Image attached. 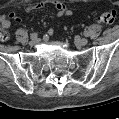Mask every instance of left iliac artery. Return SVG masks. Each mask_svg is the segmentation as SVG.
Returning <instances> with one entry per match:
<instances>
[{
  "mask_svg": "<svg viewBox=\"0 0 119 119\" xmlns=\"http://www.w3.org/2000/svg\"><path fill=\"white\" fill-rule=\"evenodd\" d=\"M84 35H85L86 37H88V36H90V32H89V31H85V32H84Z\"/></svg>",
  "mask_w": 119,
  "mask_h": 119,
  "instance_id": "left-iliac-artery-1",
  "label": "left iliac artery"
}]
</instances>
